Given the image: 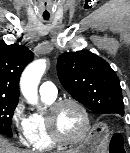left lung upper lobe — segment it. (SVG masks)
I'll use <instances>...</instances> for the list:
<instances>
[{
	"mask_svg": "<svg viewBox=\"0 0 130 153\" xmlns=\"http://www.w3.org/2000/svg\"><path fill=\"white\" fill-rule=\"evenodd\" d=\"M57 73L64 89L88 109L124 115L120 81L101 57L88 50L65 52L58 57Z\"/></svg>",
	"mask_w": 130,
	"mask_h": 153,
	"instance_id": "obj_1",
	"label": "left lung upper lobe"
}]
</instances>
